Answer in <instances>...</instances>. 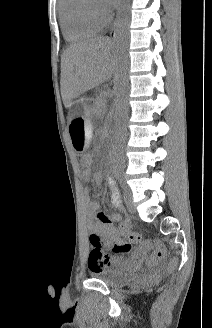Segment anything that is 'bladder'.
<instances>
[{
	"instance_id": "obj_1",
	"label": "bladder",
	"mask_w": 212,
	"mask_h": 328,
	"mask_svg": "<svg viewBox=\"0 0 212 328\" xmlns=\"http://www.w3.org/2000/svg\"><path fill=\"white\" fill-rule=\"evenodd\" d=\"M90 276L100 280L110 287H121L134 280L135 274L117 270L92 271Z\"/></svg>"
}]
</instances>
